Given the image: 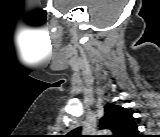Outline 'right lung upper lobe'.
Wrapping results in <instances>:
<instances>
[{"instance_id":"obj_1","label":"right lung upper lobe","mask_w":160,"mask_h":137,"mask_svg":"<svg viewBox=\"0 0 160 137\" xmlns=\"http://www.w3.org/2000/svg\"><path fill=\"white\" fill-rule=\"evenodd\" d=\"M105 114L101 118L100 128L109 129L115 137H136L138 129L132 114L125 108L107 104Z\"/></svg>"}]
</instances>
